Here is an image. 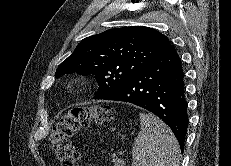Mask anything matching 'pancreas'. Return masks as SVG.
I'll return each mask as SVG.
<instances>
[{
    "instance_id": "obj_1",
    "label": "pancreas",
    "mask_w": 231,
    "mask_h": 166,
    "mask_svg": "<svg viewBox=\"0 0 231 166\" xmlns=\"http://www.w3.org/2000/svg\"><path fill=\"white\" fill-rule=\"evenodd\" d=\"M114 163H115V164H114V166H118V164H117L116 160H114Z\"/></svg>"
}]
</instances>
